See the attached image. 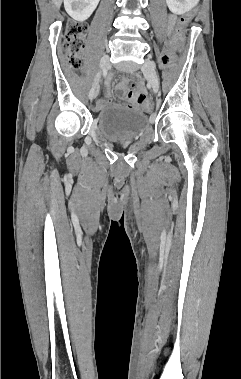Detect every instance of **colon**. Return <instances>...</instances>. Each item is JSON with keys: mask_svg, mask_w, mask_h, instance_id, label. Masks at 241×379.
<instances>
[{"mask_svg": "<svg viewBox=\"0 0 241 379\" xmlns=\"http://www.w3.org/2000/svg\"><path fill=\"white\" fill-rule=\"evenodd\" d=\"M190 13H182L180 23H173V30L169 32L167 42L169 44L159 47V53L156 54L155 62L160 65H174L177 47L185 39L183 30H190L193 24L194 15L197 14L196 8H191ZM183 29V30H182ZM87 25L84 23H71L63 36V49L70 66L77 68L80 65V57L85 48V38ZM142 104L144 109H151L152 103L150 98H143Z\"/></svg>", "mask_w": 241, "mask_h": 379, "instance_id": "obj_1", "label": "colon"}]
</instances>
